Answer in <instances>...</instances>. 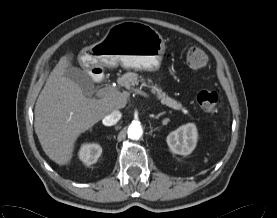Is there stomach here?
Here are the masks:
<instances>
[{
  "label": "stomach",
  "mask_w": 277,
  "mask_h": 218,
  "mask_svg": "<svg viewBox=\"0 0 277 218\" xmlns=\"http://www.w3.org/2000/svg\"><path fill=\"white\" fill-rule=\"evenodd\" d=\"M163 37L151 26L137 21L113 25L99 42L85 47L79 62L88 68L114 67L157 71L165 53Z\"/></svg>",
  "instance_id": "obj_1"
}]
</instances>
